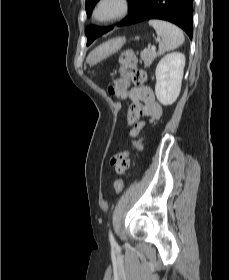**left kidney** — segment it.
<instances>
[{
	"instance_id": "obj_1",
	"label": "left kidney",
	"mask_w": 229,
	"mask_h": 280,
	"mask_svg": "<svg viewBox=\"0 0 229 280\" xmlns=\"http://www.w3.org/2000/svg\"><path fill=\"white\" fill-rule=\"evenodd\" d=\"M185 66V56L179 52L165 55L155 71V94L158 101L167 106L173 104L180 93Z\"/></svg>"
}]
</instances>
